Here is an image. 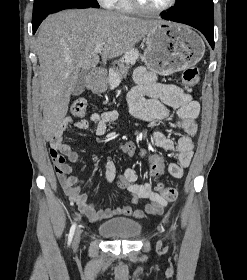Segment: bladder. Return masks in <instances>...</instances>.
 <instances>
[{
  "label": "bladder",
  "instance_id": "1",
  "mask_svg": "<svg viewBox=\"0 0 247 280\" xmlns=\"http://www.w3.org/2000/svg\"><path fill=\"white\" fill-rule=\"evenodd\" d=\"M141 231L142 225L139 222L126 218L110 219L98 226V232L110 239L132 240L137 238Z\"/></svg>",
  "mask_w": 247,
  "mask_h": 280
}]
</instances>
